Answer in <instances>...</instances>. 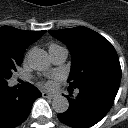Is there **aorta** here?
<instances>
[{
  "label": "aorta",
  "instance_id": "762f6f07",
  "mask_svg": "<svg viewBox=\"0 0 128 128\" xmlns=\"http://www.w3.org/2000/svg\"><path fill=\"white\" fill-rule=\"evenodd\" d=\"M28 63L34 70L38 71H45L49 69L51 65L49 56L44 50L30 52L28 55ZM52 108L57 113H64L69 108V101L66 97L57 95L53 98Z\"/></svg>",
  "mask_w": 128,
  "mask_h": 128
}]
</instances>
